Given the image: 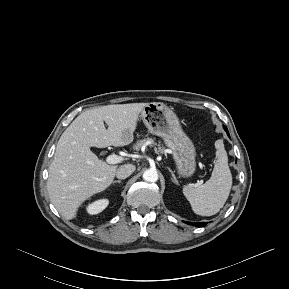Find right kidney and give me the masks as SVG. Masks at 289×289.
<instances>
[{
  "mask_svg": "<svg viewBox=\"0 0 289 289\" xmlns=\"http://www.w3.org/2000/svg\"><path fill=\"white\" fill-rule=\"evenodd\" d=\"M108 203L109 201L107 199L97 200L87 206V212L91 215L98 214L107 207Z\"/></svg>",
  "mask_w": 289,
  "mask_h": 289,
  "instance_id": "ca27d5eb",
  "label": "right kidney"
}]
</instances>
